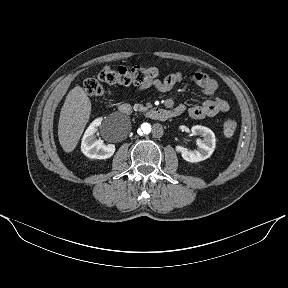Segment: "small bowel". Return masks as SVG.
Here are the masks:
<instances>
[{"instance_id":"c3829d8e","label":"small bowel","mask_w":288,"mask_h":288,"mask_svg":"<svg viewBox=\"0 0 288 288\" xmlns=\"http://www.w3.org/2000/svg\"><path fill=\"white\" fill-rule=\"evenodd\" d=\"M183 79V75L179 72L168 74L166 77L161 79H154L143 84L138 85L137 91H143L149 88H155L159 92L171 91L179 82ZM193 83L200 89L205 95L210 97L199 105H194L186 108L180 104L174 107L181 111V114L185 111L188 112L189 116L194 119H203L205 117H213L220 113H226L230 110V104L218 97H215L218 85L217 82L202 72H196L192 76Z\"/></svg>"}]
</instances>
